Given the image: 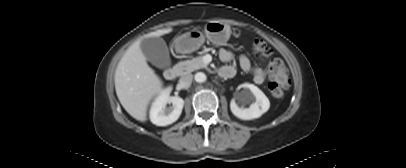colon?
I'll return each instance as SVG.
<instances>
[{
    "label": "colon",
    "instance_id": "obj_1",
    "mask_svg": "<svg viewBox=\"0 0 406 168\" xmlns=\"http://www.w3.org/2000/svg\"><path fill=\"white\" fill-rule=\"evenodd\" d=\"M253 52L261 58H267L269 73V89L274 97H282L289 86L287 70L279 58H272L271 47L263 40H255L252 44Z\"/></svg>",
    "mask_w": 406,
    "mask_h": 168
}]
</instances>
